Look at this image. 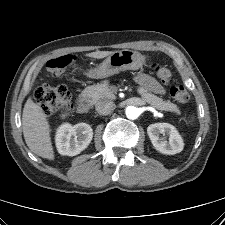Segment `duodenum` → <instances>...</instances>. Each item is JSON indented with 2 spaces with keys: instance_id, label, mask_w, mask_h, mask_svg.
Returning <instances> with one entry per match:
<instances>
[{
  "instance_id": "1",
  "label": "duodenum",
  "mask_w": 225,
  "mask_h": 225,
  "mask_svg": "<svg viewBox=\"0 0 225 225\" xmlns=\"http://www.w3.org/2000/svg\"><path fill=\"white\" fill-rule=\"evenodd\" d=\"M91 106H92V99L87 95L81 96L77 101V111L79 113H85L89 111Z\"/></svg>"
}]
</instances>
